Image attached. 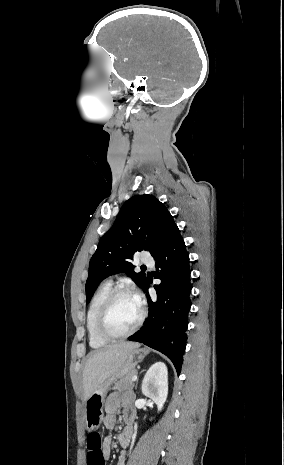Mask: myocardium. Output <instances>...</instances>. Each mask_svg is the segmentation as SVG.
<instances>
[{"label":"myocardium","mask_w":284,"mask_h":465,"mask_svg":"<svg viewBox=\"0 0 284 465\" xmlns=\"http://www.w3.org/2000/svg\"><path fill=\"white\" fill-rule=\"evenodd\" d=\"M124 296L133 297L137 300L139 307H140V318L129 333L122 335V336H114L107 331L106 322H107L109 313L113 305L115 304V302L119 298L124 297ZM146 315H147V311H146L143 301L134 292L127 290V289H116L110 293V295L104 301L98 313L96 323H95V332L101 340L106 341L108 343L122 342L124 340L131 338L137 333V331L140 329L141 325L143 324Z\"/></svg>","instance_id":"1"}]
</instances>
